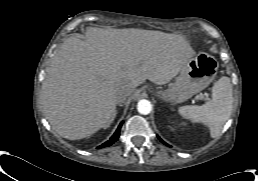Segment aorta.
I'll list each match as a JSON object with an SVG mask.
<instances>
[{"label": "aorta", "instance_id": "1", "mask_svg": "<svg viewBox=\"0 0 258 181\" xmlns=\"http://www.w3.org/2000/svg\"><path fill=\"white\" fill-rule=\"evenodd\" d=\"M137 110L140 114L147 115L151 112L152 105H151L150 101H148L146 99H142L137 104Z\"/></svg>", "mask_w": 258, "mask_h": 181}]
</instances>
